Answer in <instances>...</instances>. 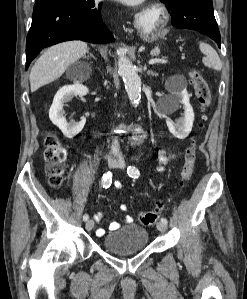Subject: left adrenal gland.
I'll return each mask as SVG.
<instances>
[{"label":"left adrenal gland","mask_w":247,"mask_h":299,"mask_svg":"<svg viewBox=\"0 0 247 299\" xmlns=\"http://www.w3.org/2000/svg\"><path fill=\"white\" fill-rule=\"evenodd\" d=\"M145 69H146V67H145ZM147 74L148 75H151V76H158V73H156V72H154V71H152V70H147Z\"/></svg>","instance_id":"a2214340"}]
</instances>
